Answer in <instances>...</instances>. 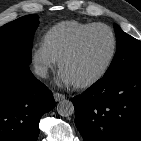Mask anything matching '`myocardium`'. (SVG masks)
Masks as SVG:
<instances>
[{
  "mask_svg": "<svg viewBox=\"0 0 141 141\" xmlns=\"http://www.w3.org/2000/svg\"><path fill=\"white\" fill-rule=\"evenodd\" d=\"M96 29H104L106 30L111 37V41H112V46H111V51L110 54L106 60V62L104 63V65L102 66V68L92 77H90L87 80H84L82 82H77V83H73V86L75 88L78 89H85V88H89L93 85H95L96 83H98L108 72V70L110 69L114 58L116 56V52H117V38L116 35L114 33V31L107 25L102 24V23H96L93 24L92 26L86 28L85 30H83L75 39L74 41L70 44V46L63 52V54L60 56L59 60H58V65L60 70H62V66L64 64V62L71 57L79 48V46L81 45L82 41L84 40V38L93 30Z\"/></svg>",
  "mask_w": 141,
  "mask_h": 141,
  "instance_id": "obj_1",
  "label": "myocardium"
}]
</instances>
